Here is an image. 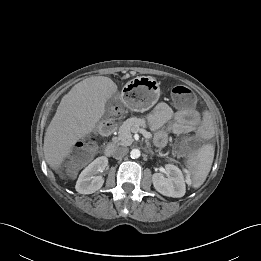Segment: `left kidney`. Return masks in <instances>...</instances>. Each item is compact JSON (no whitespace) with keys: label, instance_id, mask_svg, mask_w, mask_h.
<instances>
[{"label":"left kidney","instance_id":"1","mask_svg":"<svg viewBox=\"0 0 261 261\" xmlns=\"http://www.w3.org/2000/svg\"><path fill=\"white\" fill-rule=\"evenodd\" d=\"M165 174L154 173L152 182L154 188L164 196L180 198L185 195L186 185L182 171L175 165H165Z\"/></svg>","mask_w":261,"mask_h":261}]
</instances>
